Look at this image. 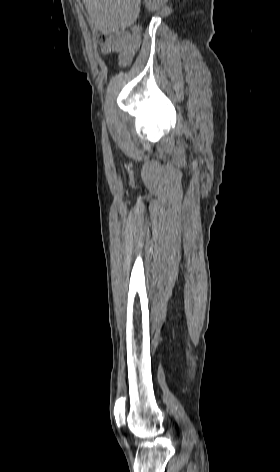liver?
<instances>
[{"instance_id": "liver-1", "label": "liver", "mask_w": 280, "mask_h": 472, "mask_svg": "<svg viewBox=\"0 0 280 472\" xmlns=\"http://www.w3.org/2000/svg\"><path fill=\"white\" fill-rule=\"evenodd\" d=\"M92 28L109 34L132 25L140 13L141 0H83Z\"/></svg>"}]
</instances>
